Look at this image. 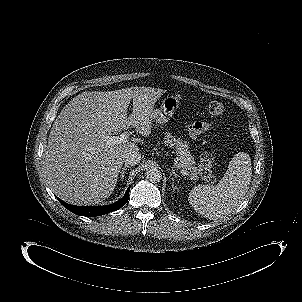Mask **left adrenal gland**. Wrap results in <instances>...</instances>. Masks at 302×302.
Instances as JSON below:
<instances>
[{"label": "left adrenal gland", "instance_id": "1", "mask_svg": "<svg viewBox=\"0 0 302 302\" xmlns=\"http://www.w3.org/2000/svg\"><path fill=\"white\" fill-rule=\"evenodd\" d=\"M172 188L177 189V187L174 186V178H172Z\"/></svg>", "mask_w": 302, "mask_h": 302}]
</instances>
